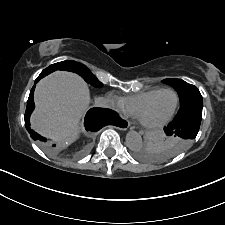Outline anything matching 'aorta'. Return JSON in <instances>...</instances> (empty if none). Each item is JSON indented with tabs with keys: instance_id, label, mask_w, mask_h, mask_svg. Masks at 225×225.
I'll list each match as a JSON object with an SVG mask.
<instances>
[{
	"instance_id": "obj_1",
	"label": "aorta",
	"mask_w": 225,
	"mask_h": 225,
	"mask_svg": "<svg viewBox=\"0 0 225 225\" xmlns=\"http://www.w3.org/2000/svg\"><path fill=\"white\" fill-rule=\"evenodd\" d=\"M126 145L130 150H139L142 147L141 136L135 131L129 132L126 135Z\"/></svg>"
}]
</instances>
